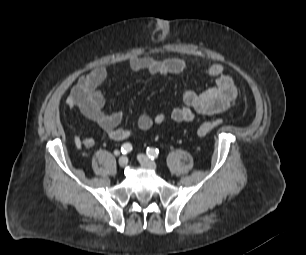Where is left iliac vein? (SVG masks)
I'll list each match as a JSON object with an SVG mask.
<instances>
[{"mask_svg": "<svg viewBox=\"0 0 306 255\" xmlns=\"http://www.w3.org/2000/svg\"><path fill=\"white\" fill-rule=\"evenodd\" d=\"M138 160H139V162L142 166H144L148 169H151V170H156L157 169V164L144 154H139L138 155Z\"/></svg>", "mask_w": 306, "mask_h": 255, "instance_id": "4c4485c4", "label": "left iliac vein"}]
</instances>
